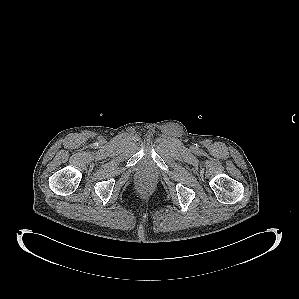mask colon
I'll return each instance as SVG.
<instances>
[{"instance_id": "obj_1", "label": "colon", "mask_w": 299, "mask_h": 299, "mask_svg": "<svg viewBox=\"0 0 299 299\" xmlns=\"http://www.w3.org/2000/svg\"><path fill=\"white\" fill-rule=\"evenodd\" d=\"M141 182H142V184H148L149 183V179L145 177V178L142 179Z\"/></svg>"}]
</instances>
